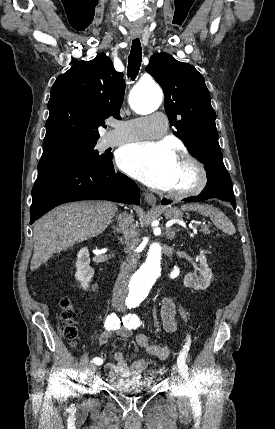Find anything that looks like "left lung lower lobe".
Returning <instances> with one entry per match:
<instances>
[{"instance_id": "obj_1", "label": "left lung lower lobe", "mask_w": 275, "mask_h": 429, "mask_svg": "<svg viewBox=\"0 0 275 429\" xmlns=\"http://www.w3.org/2000/svg\"><path fill=\"white\" fill-rule=\"evenodd\" d=\"M209 198H218L223 201L231 203L234 209H236L235 195L231 181L224 179H212L208 180L204 190L197 196L191 199H187V202L202 201ZM172 201L163 199L162 204L167 205Z\"/></svg>"}]
</instances>
